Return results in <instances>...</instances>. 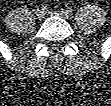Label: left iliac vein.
I'll use <instances>...</instances> for the list:
<instances>
[{"label": "left iliac vein", "instance_id": "1", "mask_svg": "<svg viewBox=\"0 0 111 106\" xmlns=\"http://www.w3.org/2000/svg\"><path fill=\"white\" fill-rule=\"evenodd\" d=\"M50 14L55 15V16L63 17V18H65V19H67V20L72 19L71 13L66 12V11H64V10H61V11H58V10H56V11H51Z\"/></svg>", "mask_w": 111, "mask_h": 106}]
</instances>
